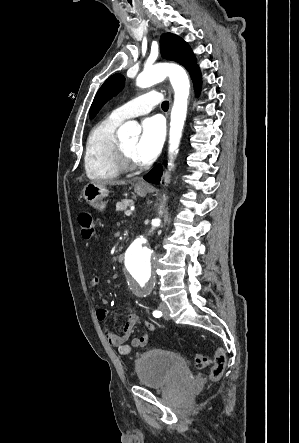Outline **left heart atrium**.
<instances>
[{"label": "left heart atrium", "mask_w": 299, "mask_h": 443, "mask_svg": "<svg viewBox=\"0 0 299 443\" xmlns=\"http://www.w3.org/2000/svg\"><path fill=\"white\" fill-rule=\"evenodd\" d=\"M164 139V123L161 117L152 116L142 122V133L135 156L139 163H150L158 155Z\"/></svg>", "instance_id": "left-heart-atrium-1"}]
</instances>
